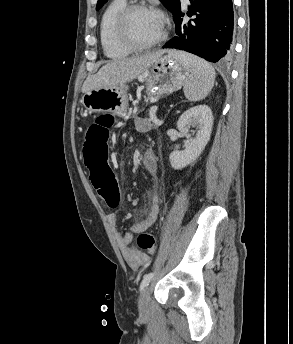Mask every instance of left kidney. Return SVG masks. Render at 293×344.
<instances>
[{"mask_svg":"<svg viewBox=\"0 0 293 344\" xmlns=\"http://www.w3.org/2000/svg\"><path fill=\"white\" fill-rule=\"evenodd\" d=\"M190 126L197 128L194 138L191 137ZM212 126V111L207 105L192 107L180 116L177 128L186 136L188 143L185 150L170 154L169 160L174 169H182L200 156L210 139Z\"/></svg>","mask_w":293,"mask_h":344,"instance_id":"5707ae66","label":"left kidney"}]
</instances>
